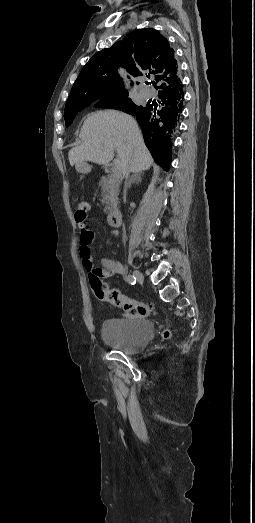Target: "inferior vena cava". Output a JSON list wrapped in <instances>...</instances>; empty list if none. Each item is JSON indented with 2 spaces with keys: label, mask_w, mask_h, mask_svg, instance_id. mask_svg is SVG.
<instances>
[{
  "label": "inferior vena cava",
  "mask_w": 255,
  "mask_h": 523,
  "mask_svg": "<svg viewBox=\"0 0 255 523\" xmlns=\"http://www.w3.org/2000/svg\"><path fill=\"white\" fill-rule=\"evenodd\" d=\"M123 174H124V176H125V178H126V180H127L128 176H129V174H130V170H129V168H128V170H126V172H123ZM125 192H126V184H125L124 196H125Z\"/></svg>",
  "instance_id": "inferior-vena-cava-1"
}]
</instances>
